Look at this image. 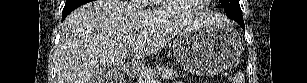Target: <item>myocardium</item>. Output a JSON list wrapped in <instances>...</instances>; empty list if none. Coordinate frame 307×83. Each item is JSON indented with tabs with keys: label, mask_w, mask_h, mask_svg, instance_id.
Returning <instances> with one entry per match:
<instances>
[{
	"label": "myocardium",
	"mask_w": 307,
	"mask_h": 83,
	"mask_svg": "<svg viewBox=\"0 0 307 83\" xmlns=\"http://www.w3.org/2000/svg\"><path fill=\"white\" fill-rule=\"evenodd\" d=\"M207 2H209V1H205V3H207ZM165 6L171 8L173 10V12L178 14V15H190V14H193V13H196V12L202 10L205 7L204 4H199V5H196L189 10H181V9L176 7L175 0L174 1L173 0H166Z\"/></svg>",
	"instance_id": "f54148a6"
}]
</instances>
